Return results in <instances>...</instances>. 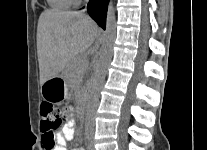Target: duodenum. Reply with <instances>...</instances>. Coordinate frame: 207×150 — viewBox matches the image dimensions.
<instances>
[{"instance_id": "obj_1", "label": "duodenum", "mask_w": 207, "mask_h": 150, "mask_svg": "<svg viewBox=\"0 0 207 150\" xmlns=\"http://www.w3.org/2000/svg\"><path fill=\"white\" fill-rule=\"evenodd\" d=\"M93 89L92 86H88L83 94V102L86 106L89 105L91 97H92Z\"/></svg>"}]
</instances>
